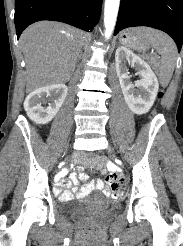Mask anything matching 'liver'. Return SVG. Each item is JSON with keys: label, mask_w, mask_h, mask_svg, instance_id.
I'll list each match as a JSON object with an SVG mask.
<instances>
[{"label": "liver", "mask_w": 183, "mask_h": 246, "mask_svg": "<svg viewBox=\"0 0 183 246\" xmlns=\"http://www.w3.org/2000/svg\"><path fill=\"white\" fill-rule=\"evenodd\" d=\"M84 39L83 31L62 23L41 21L29 26L20 37L26 92L69 81Z\"/></svg>", "instance_id": "obj_1"}]
</instances>
